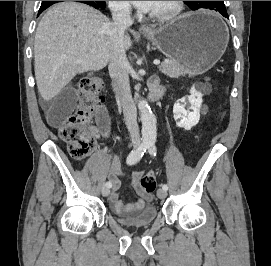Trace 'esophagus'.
<instances>
[{
  "label": "esophagus",
  "instance_id": "obj_1",
  "mask_svg": "<svg viewBox=\"0 0 271 266\" xmlns=\"http://www.w3.org/2000/svg\"><path fill=\"white\" fill-rule=\"evenodd\" d=\"M151 31H152V29L149 26L142 25L139 27V32H141V33H149Z\"/></svg>",
  "mask_w": 271,
  "mask_h": 266
}]
</instances>
